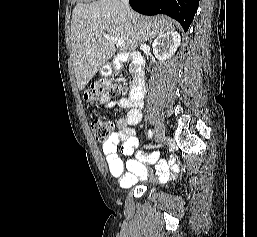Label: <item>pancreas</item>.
Instances as JSON below:
<instances>
[{
	"mask_svg": "<svg viewBox=\"0 0 257 237\" xmlns=\"http://www.w3.org/2000/svg\"><path fill=\"white\" fill-rule=\"evenodd\" d=\"M130 73H133V69L132 68H130Z\"/></svg>",
	"mask_w": 257,
	"mask_h": 237,
	"instance_id": "pancreas-1",
	"label": "pancreas"
}]
</instances>
